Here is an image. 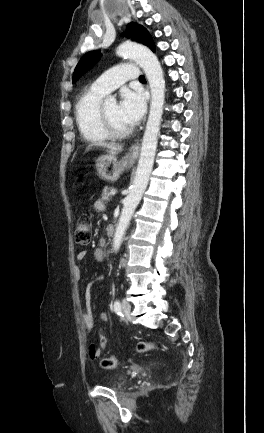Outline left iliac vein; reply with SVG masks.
Listing matches in <instances>:
<instances>
[{"mask_svg":"<svg viewBox=\"0 0 264 433\" xmlns=\"http://www.w3.org/2000/svg\"><path fill=\"white\" fill-rule=\"evenodd\" d=\"M122 310H123V313H124L127 317L130 316L131 305H130V303H129L126 299H123V301H122Z\"/></svg>","mask_w":264,"mask_h":433,"instance_id":"1","label":"left iliac vein"}]
</instances>
